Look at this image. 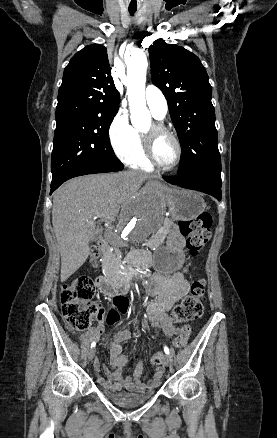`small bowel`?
I'll list each match as a JSON object with an SVG mask.
<instances>
[{"label": "small bowel", "instance_id": "1", "mask_svg": "<svg viewBox=\"0 0 277 438\" xmlns=\"http://www.w3.org/2000/svg\"><path fill=\"white\" fill-rule=\"evenodd\" d=\"M187 272L188 269L184 268L170 275L155 273L147 288V293L157 298L148 303L146 307L150 324L152 327L162 328L168 337L179 334V328L171 319V310L189 291L190 283L186 277ZM130 337L131 329L129 326L122 327L110 337L102 325L93 327L80 336V341L85 345H88L93 339L100 338L108 348L109 366L104 368L107 379L98 376L97 382L111 391L122 388L137 392L151 390L159 385L164 375V368H156L151 379L144 378V364L142 362L135 365L132 376L123 375L128 356L123 353L121 344L127 342ZM94 365L98 370L97 360Z\"/></svg>", "mask_w": 277, "mask_h": 438}]
</instances>
